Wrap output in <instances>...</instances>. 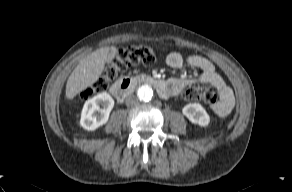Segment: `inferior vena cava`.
I'll use <instances>...</instances> for the list:
<instances>
[{"instance_id": "inferior-vena-cava-1", "label": "inferior vena cava", "mask_w": 292, "mask_h": 192, "mask_svg": "<svg viewBox=\"0 0 292 192\" xmlns=\"http://www.w3.org/2000/svg\"><path fill=\"white\" fill-rule=\"evenodd\" d=\"M126 105L127 106H133V105H136L138 103V98L134 95H130L126 98V101H125Z\"/></svg>"}]
</instances>
